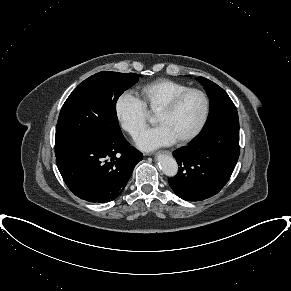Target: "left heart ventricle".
<instances>
[{
	"instance_id": "1",
	"label": "left heart ventricle",
	"mask_w": 291,
	"mask_h": 291,
	"mask_svg": "<svg viewBox=\"0 0 291 291\" xmlns=\"http://www.w3.org/2000/svg\"><path fill=\"white\" fill-rule=\"evenodd\" d=\"M203 108L202 97L192 93L183 98L171 113H157L155 122L163 125L177 141L189 135L197 127Z\"/></svg>"
}]
</instances>
